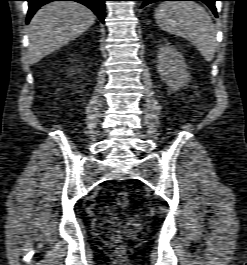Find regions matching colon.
Segmentation results:
<instances>
[{
  "label": "colon",
  "instance_id": "1",
  "mask_svg": "<svg viewBox=\"0 0 247 265\" xmlns=\"http://www.w3.org/2000/svg\"><path fill=\"white\" fill-rule=\"evenodd\" d=\"M117 204L120 208H127L130 205V195L128 192L122 191L118 193L116 197ZM117 252L122 254L124 252V248L119 246L117 248Z\"/></svg>",
  "mask_w": 247,
  "mask_h": 265
}]
</instances>
